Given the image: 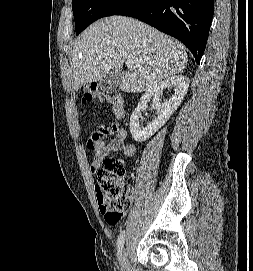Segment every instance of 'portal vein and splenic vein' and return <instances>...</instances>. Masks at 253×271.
Masks as SVG:
<instances>
[{
  "label": "portal vein and splenic vein",
  "instance_id": "portal-vein-and-splenic-vein-1",
  "mask_svg": "<svg viewBox=\"0 0 253 271\" xmlns=\"http://www.w3.org/2000/svg\"><path fill=\"white\" fill-rule=\"evenodd\" d=\"M127 67L131 68L133 67V62L132 61H126Z\"/></svg>",
  "mask_w": 253,
  "mask_h": 271
}]
</instances>
